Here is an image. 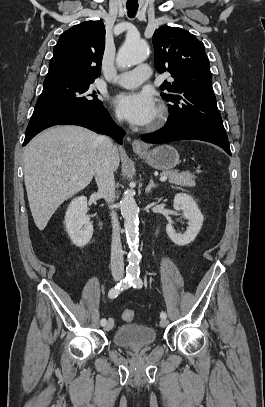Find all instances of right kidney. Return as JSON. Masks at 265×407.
I'll use <instances>...</instances> for the list:
<instances>
[{
  "mask_svg": "<svg viewBox=\"0 0 265 407\" xmlns=\"http://www.w3.org/2000/svg\"><path fill=\"white\" fill-rule=\"evenodd\" d=\"M87 212V198L80 196L71 201L65 214L64 224L68 236L80 248L88 244L93 235V225Z\"/></svg>",
  "mask_w": 265,
  "mask_h": 407,
  "instance_id": "obj_1",
  "label": "right kidney"
}]
</instances>
